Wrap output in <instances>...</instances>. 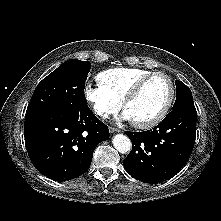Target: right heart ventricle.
<instances>
[{
    "label": "right heart ventricle",
    "mask_w": 221,
    "mask_h": 221,
    "mask_svg": "<svg viewBox=\"0 0 221 221\" xmlns=\"http://www.w3.org/2000/svg\"><path fill=\"white\" fill-rule=\"evenodd\" d=\"M149 73L150 70L143 68L117 67L100 72L97 80L112 97L122 102L135 83Z\"/></svg>",
    "instance_id": "obj_1"
}]
</instances>
